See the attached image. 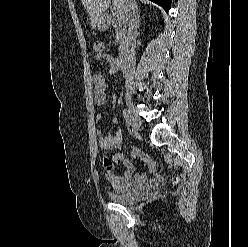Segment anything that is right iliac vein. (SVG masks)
Here are the masks:
<instances>
[{
    "instance_id": "right-iliac-vein-1",
    "label": "right iliac vein",
    "mask_w": 248,
    "mask_h": 247,
    "mask_svg": "<svg viewBox=\"0 0 248 247\" xmlns=\"http://www.w3.org/2000/svg\"><path fill=\"white\" fill-rule=\"evenodd\" d=\"M126 104H127L128 112H129L130 119H131V126H132L133 133L135 134V136L140 137V133H139L140 122H139L137 115L135 114V111L133 109V104L130 98H126Z\"/></svg>"
}]
</instances>
